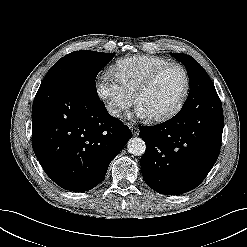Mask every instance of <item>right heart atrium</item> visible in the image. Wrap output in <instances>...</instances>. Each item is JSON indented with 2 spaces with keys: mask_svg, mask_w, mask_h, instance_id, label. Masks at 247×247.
I'll return each instance as SVG.
<instances>
[{
  "mask_svg": "<svg viewBox=\"0 0 247 247\" xmlns=\"http://www.w3.org/2000/svg\"><path fill=\"white\" fill-rule=\"evenodd\" d=\"M96 93L103 101L107 112L113 117H120L133 103L132 96L110 73L103 74L98 78Z\"/></svg>",
  "mask_w": 247,
  "mask_h": 247,
  "instance_id": "right-heart-atrium-1",
  "label": "right heart atrium"
}]
</instances>
